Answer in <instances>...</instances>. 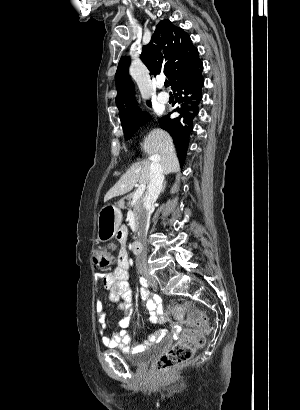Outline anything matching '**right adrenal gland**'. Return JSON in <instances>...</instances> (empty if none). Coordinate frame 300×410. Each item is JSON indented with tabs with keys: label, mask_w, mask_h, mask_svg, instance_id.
Wrapping results in <instances>:
<instances>
[{
	"label": "right adrenal gland",
	"mask_w": 300,
	"mask_h": 410,
	"mask_svg": "<svg viewBox=\"0 0 300 410\" xmlns=\"http://www.w3.org/2000/svg\"><path fill=\"white\" fill-rule=\"evenodd\" d=\"M165 188H166V181H164V184L162 186V190H161L162 193L165 191Z\"/></svg>",
	"instance_id": "1"
}]
</instances>
